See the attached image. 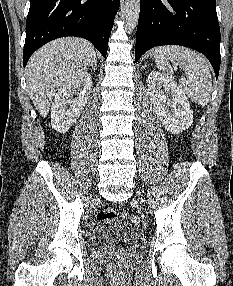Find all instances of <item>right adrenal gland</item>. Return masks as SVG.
Returning <instances> with one entry per match:
<instances>
[{"label":"right adrenal gland","mask_w":233,"mask_h":286,"mask_svg":"<svg viewBox=\"0 0 233 286\" xmlns=\"http://www.w3.org/2000/svg\"><path fill=\"white\" fill-rule=\"evenodd\" d=\"M91 67L93 68L94 71L97 70V59L94 60V63L91 64Z\"/></svg>","instance_id":"right-adrenal-gland-1"}]
</instances>
